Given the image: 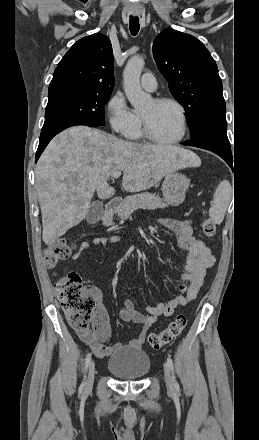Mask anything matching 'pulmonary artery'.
I'll use <instances>...</instances> for the list:
<instances>
[{"label":"pulmonary artery","instance_id":"obj_1","mask_svg":"<svg viewBox=\"0 0 259 440\" xmlns=\"http://www.w3.org/2000/svg\"><path fill=\"white\" fill-rule=\"evenodd\" d=\"M141 86L149 92H153L157 88V82L152 73H144L141 78Z\"/></svg>","mask_w":259,"mask_h":440}]
</instances>
